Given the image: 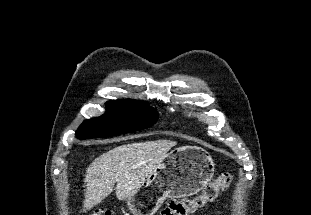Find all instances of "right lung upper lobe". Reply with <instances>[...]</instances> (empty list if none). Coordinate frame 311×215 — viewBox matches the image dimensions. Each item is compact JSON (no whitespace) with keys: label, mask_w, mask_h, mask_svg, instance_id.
<instances>
[{"label":"right lung upper lobe","mask_w":311,"mask_h":215,"mask_svg":"<svg viewBox=\"0 0 311 215\" xmlns=\"http://www.w3.org/2000/svg\"><path fill=\"white\" fill-rule=\"evenodd\" d=\"M120 101H126V102H134V103H145V102H141V101H136V100H120Z\"/></svg>","instance_id":"obj_1"}]
</instances>
